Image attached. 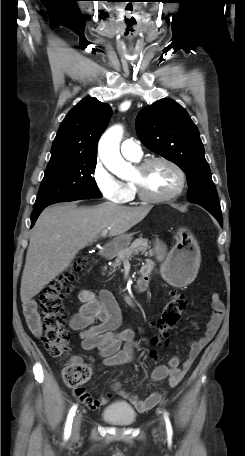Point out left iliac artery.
Listing matches in <instances>:
<instances>
[{
    "instance_id": "obj_1",
    "label": "left iliac artery",
    "mask_w": 245,
    "mask_h": 456,
    "mask_svg": "<svg viewBox=\"0 0 245 456\" xmlns=\"http://www.w3.org/2000/svg\"><path fill=\"white\" fill-rule=\"evenodd\" d=\"M164 419H165V422H166V430H167V434L168 436H172V426H171V422H170V419L168 417V414L166 412H164Z\"/></svg>"
}]
</instances>
